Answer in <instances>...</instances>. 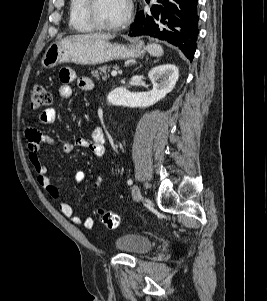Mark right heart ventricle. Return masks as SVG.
Instances as JSON below:
<instances>
[{"mask_svg":"<svg viewBox=\"0 0 267 301\" xmlns=\"http://www.w3.org/2000/svg\"><path fill=\"white\" fill-rule=\"evenodd\" d=\"M86 0H70L69 25L79 33L94 32L96 28L89 22L85 12Z\"/></svg>","mask_w":267,"mask_h":301,"instance_id":"obj_1","label":"right heart ventricle"}]
</instances>
